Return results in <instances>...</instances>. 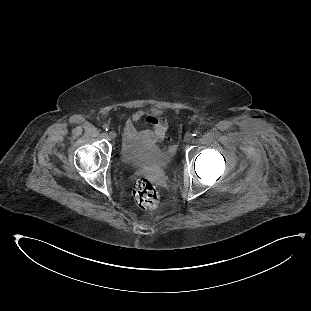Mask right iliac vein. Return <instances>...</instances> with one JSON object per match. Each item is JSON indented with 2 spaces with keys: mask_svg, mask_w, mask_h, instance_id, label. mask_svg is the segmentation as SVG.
<instances>
[{
  "mask_svg": "<svg viewBox=\"0 0 311 311\" xmlns=\"http://www.w3.org/2000/svg\"><path fill=\"white\" fill-rule=\"evenodd\" d=\"M116 136H117V134H116L115 131H109V137H110L111 139H115Z\"/></svg>",
  "mask_w": 311,
  "mask_h": 311,
  "instance_id": "obj_1",
  "label": "right iliac vein"
}]
</instances>
